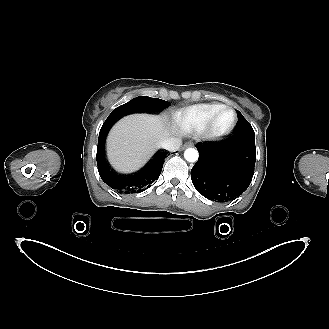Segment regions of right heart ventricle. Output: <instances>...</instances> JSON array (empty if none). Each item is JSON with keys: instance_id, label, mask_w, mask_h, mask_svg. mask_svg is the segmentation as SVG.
Here are the masks:
<instances>
[{"instance_id": "1", "label": "right heart ventricle", "mask_w": 329, "mask_h": 329, "mask_svg": "<svg viewBox=\"0 0 329 329\" xmlns=\"http://www.w3.org/2000/svg\"><path fill=\"white\" fill-rule=\"evenodd\" d=\"M223 103H206L188 106L173 113V121L183 133L200 131L209 118L221 107Z\"/></svg>"}]
</instances>
